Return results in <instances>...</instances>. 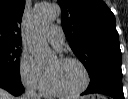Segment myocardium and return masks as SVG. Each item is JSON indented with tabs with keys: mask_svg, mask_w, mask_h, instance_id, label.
Wrapping results in <instances>:
<instances>
[{
	"mask_svg": "<svg viewBox=\"0 0 128 99\" xmlns=\"http://www.w3.org/2000/svg\"><path fill=\"white\" fill-rule=\"evenodd\" d=\"M59 61H61V62H74V63L78 64L84 73L85 80H84L83 85L78 90L72 91V92H66V91L61 90L57 86L52 74L48 72V81H49V84H50V87H51L53 93L57 96L67 97V98H72V97H76V96L81 95L83 92H85L87 90V88L90 84V74H89L87 67L85 66V64L81 60H79L78 58H75V57H69V56L60 57Z\"/></svg>",
	"mask_w": 128,
	"mask_h": 99,
	"instance_id": "myocardium-1",
	"label": "myocardium"
}]
</instances>
